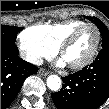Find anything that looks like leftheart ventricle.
I'll return each instance as SVG.
<instances>
[{
  "label": "left heart ventricle",
  "instance_id": "obj_1",
  "mask_svg": "<svg viewBox=\"0 0 109 109\" xmlns=\"http://www.w3.org/2000/svg\"><path fill=\"white\" fill-rule=\"evenodd\" d=\"M97 40V33L93 27L85 28L64 53L63 59L68 64H77L89 56Z\"/></svg>",
  "mask_w": 109,
  "mask_h": 109
}]
</instances>
